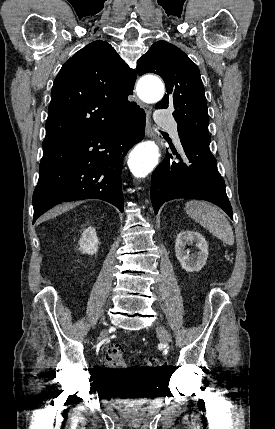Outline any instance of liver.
<instances>
[{
	"label": "liver",
	"mask_w": 275,
	"mask_h": 429,
	"mask_svg": "<svg viewBox=\"0 0 275 429\" xmlns=\"http://www.w3.org/2000/svg\"><path fill=\"white\" fill-rule=\"evenodd\" d=\"M60 210H61V208H57V209H55V210H52V211H51V212H49L48 214L44 215V216L40 219V221L42 222V221H44V220H46V219H48V218H50V217L54 216L55 214H57L58 212H60Z\"/></svg>",
	"instance_id": "6515ba94"
}]
</instances>
